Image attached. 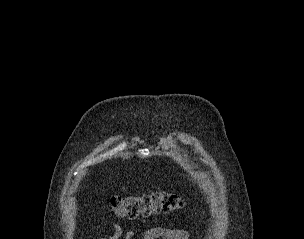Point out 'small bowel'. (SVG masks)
<instances>
[{"instance_id":"c3829d8e","label":"small bowel","mask_w":304,"mask_h":239,"mask_svg":"<svg viewBox=\"0 0 304 239\" xmlns=\"http://www.w3.org/2000/svg\"><path fill=\"white\" fill-rule=\"evenodd\" d=\"M102 228H108L112 233L101 239H135L138 237L134 231L123 232L122 228L115 223H107L100 226H96L91 231L99 230ZM190 235L185 229H170L164 227H152L145 231L143 239H189Z\"/></svg>"}]
</instances>
